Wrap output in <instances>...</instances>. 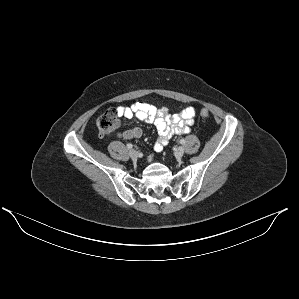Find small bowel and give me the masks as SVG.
Instances as JSON below:
<instances>
[{"label": "small bowel", "mask_w": 299, "mask_h": 299, "mask_svg": "<svg viewBox=\"0 0 299 299\" xmlns=\"http://www.w3.org/2000/svg\"><path fill=\"white\" fill-rule=\"evenodd\" d=\"M116 112L121 117H136L155 125L158 133V138L154 145V151L156 153H161L174 135L189 133L195 116V111L191 107H187L178 113L168 115L167 108H157L143 102L134 103L130 106H117ZM117 136L124 139H138L142 136V129L139 127H131L118 133Z\"/></svg>", "instance_id": "small-bowel-1"}]
</instances>
